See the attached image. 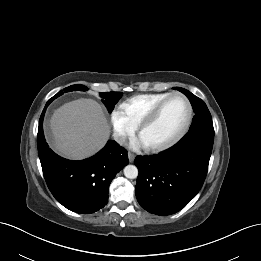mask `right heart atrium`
I'll return each instance as SVG.
<instances>
[{
  "instance_id": "obj_1",
  "label": "right heart atrium",
  "mask_w": 261,
  "mask_h": 261,
  "mask_svg": "<svg viewBox=\"0 0 261 261\" xmlns=\"http://www.w3.org/2000/svg\"><path fill=\"white\" fill-rule=\"evenodd\" d=\"M110 122L112 125L114 137L119 143H123L135 132V127L131 124L123 111L120 109L115 108L111 111Z\"/></svg>"
}]
</instances>
